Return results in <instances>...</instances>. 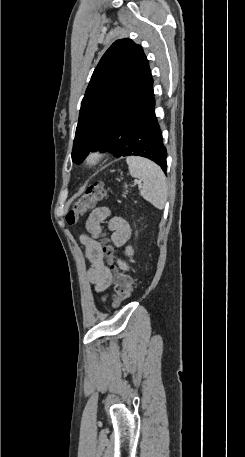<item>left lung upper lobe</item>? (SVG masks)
Masks as SVG:
<instances>
[{
	"label": "left lung upper lobe",
	"mask_w": 245,
	"mask_h": 457,
	"mask_svg": "<svg viewBox=\"0 0 245 457\" xmlns=\"http://www.w3.org/2000/svg\"><path fill=\"white\" fill-rule=\"evenodd\" d=\"M153 91L149 62L140 45L115 41L95 68L81 103L72 160L84 142L118 115L141 108Z\"/></svg>",
	"instance_id": "obj_1"
}]
</instances>
